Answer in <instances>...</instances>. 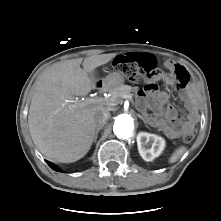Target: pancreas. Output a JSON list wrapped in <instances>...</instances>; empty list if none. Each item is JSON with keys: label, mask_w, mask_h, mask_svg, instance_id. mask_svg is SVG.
<instances>
[{"label": "pancreas", "mask_w": 221, "mask_h": 221, "mask_svg": "<svg viewBox=\"0 0 221 221\" xmlns=\"http://www.w3.org/2000/svg\"><path fill=\"white\" fill-rule=\"evenodd\" d=\"M133 91H135V88H133L129 85H122L119 88H117L111 92L112 96L110 99L112 102H119L123 98V96H125V95L132 97Z\"/></svg>", "instance_id": "1"}]
</instances>
